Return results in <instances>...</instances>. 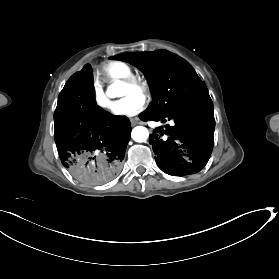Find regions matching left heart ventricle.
Returning a JSON list of instances; mask_svg holds the SVG:
<instances>
[{"mask_svg":"<svg viewBox=\"0 0 279 279\" xmlns=\"http://www.w3.org/2000/svg\"><path fill=\"white\" fill-rule=\"evenodd\" d=\"M131 95H139V93L131 89L130 87L121 84L119 88V97L124 98Z\"/></svg>","mask_w":279,"mask_h":279,"instance_id":"obj_1","label":"left heart ventricle"}]
</instances>
